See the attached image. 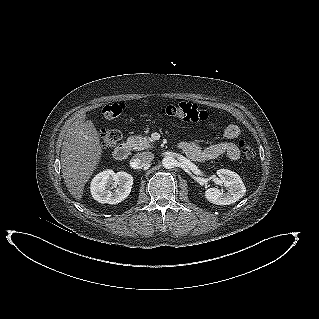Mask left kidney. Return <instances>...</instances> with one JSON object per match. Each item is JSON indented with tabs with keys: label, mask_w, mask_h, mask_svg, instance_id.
<instances>
[{
	"label": "left kidney",
	"mask_w": 319,
	"mask_h": 319,
	"mask_svg": "<svg viewBox=\"0 0 319 319\" xmlns=\"http://www.w3.org/2000/svg\"><path fill=\"white\" fill-rule=\"evenodd\" d=\"M219 184L227 188V192L218 188H209L205 191L208 201L217 205H229L237 202L246 192L245 185L240 176L227 169L217 171Z\"/></svg>",
	"instance_id": "obj_1"
}]
</instances>
